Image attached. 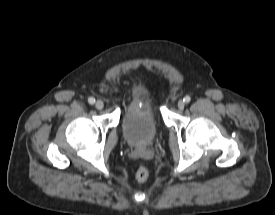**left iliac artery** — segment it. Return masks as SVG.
<instances>
[{"instance_id": "44dca946", "label": "left iliac artery", "mask_w": 275, "mask_h": 215, "mask_svg": "<svg viewBox=\"0 0 275 215\" xmlns=\"http://www.w3.org/2000/svg\"><path fill=\"white\" fill-rule=\"evenodd\" d=\"M183 101L185 103H189L191 101V97L190 96H185L184 99H183Z\"/></svg>"}]
</instances>
